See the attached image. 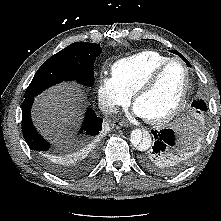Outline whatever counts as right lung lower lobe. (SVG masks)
<instances>
[{"label": "right lung lower lobe", "instance_id": "obj_1", "mask_svg": "<svg viewBox=\"0 0 221 221\" xmlns=\"http://www.w3.org/2000/svg\"><path fill=\"white\" fill-rule=\"evenodd\" d=\"M34 101V97H28L24 99L23 109H22V132L27 142L29 148L36 152L41 162L54 170L57 173H60L63 176L69 177L73 176V172H65L55 170L52 164L55 161L60 160V158H56L52 156L49 152L50 145L47 141H45L36 131L32 124L31 120V106ZM103 119L96 116V113L88 109L86 112V116L82 127L80 129L81 133H86L89 136L98 135L102 129Z\"/></svg>", "mask_w": 221, "mask_h": 221}]
</instances>
